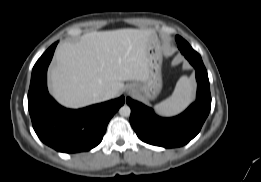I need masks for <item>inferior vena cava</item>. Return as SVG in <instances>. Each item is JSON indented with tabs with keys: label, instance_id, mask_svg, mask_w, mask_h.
<instances>
[{
	"label": "inferior vena cava",
	"instance_id": "obj_1",
	"mask_svg": "<svg viewBox=\"0 0 261 182\" xmlns=\"http://www.w3.org/2000/svg\"><path fill=\"white\" fill-rule=\"evenodd\" d=\"M110 97H111V92H110V91L105 92L104 98H105V99H108V98H110Z\"/></svg>",
	"mask_w": 261,
	"mask_h": 182
}]
</instances>
